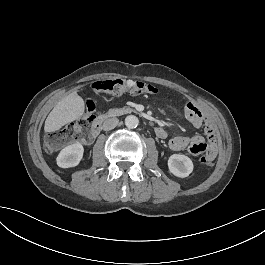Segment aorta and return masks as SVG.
<instances>
[{"label": "aorta", "instance_id": "obj_1", "mask_svg": "<svg viewBox=\"0 0 265 265\" xmlns=\"http://www.w3.org/2000/svg\"><path fill=\"white\" fill-rule=\"evenodd\" d=\"M125 125L130 128H136L139 125V119L134 115H129L125 118Z\"/></svg>", "mask_w": 265, "mask_h": 265}]
</instances>
